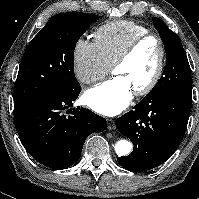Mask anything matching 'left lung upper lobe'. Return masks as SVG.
I'll return each mask as SVG.
<instances>
[{"mask_svg": "<svg viewBox=\"0 0 199 199\" xmlns=\"http://www.w3.org/2000/svg\"><path fill=\"white\" fill-rule=\"evenodd\" d=\"M153 23L163 41L167 60L161 79L143 100L175 91H192L191 69L179 37L162 20L153 18Z\"/></svg>", "mask_w": 199, "mask_h": 199, "instance_id": "left-lung-upper-lobe-1", "label": "left lung upper lobe"}]
</instances>
